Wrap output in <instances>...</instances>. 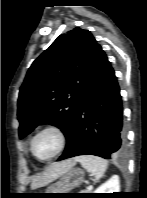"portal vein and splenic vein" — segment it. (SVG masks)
<instances>
[{"label": "portal vein and splenic vein", "instance_id": "portal-vein-and-splenic-vein-1", "mask_svg": "<svg viewBox=\"0 0 147 198\" xmlns=\"http://www.w3.org/2000/svg\"><path fill=\"white\" fill-rule=\"evenodd\" d=\"M91 189H92V186L90 185V186H89V190H91Z\"/></svg>", "mask_w": 147, "mask_h": 198}]
</instances>
